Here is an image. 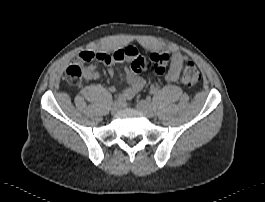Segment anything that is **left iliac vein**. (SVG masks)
<instances>
[{"label": "left iliac vein", "mask_w": 265, "mask_h": 202, "mask_svg": "<svg viewBox=\"0 0 265 202\" xmlns=\"http://www.w3.org/2000/svg\"><path fill=\"white\" fill-rule=\"evenodd\" d=\"M137 110L151 118L154 116V110L149 100H141L137 103Z\"/></svg>", "instance_id": "obj_1"}]
</instances>
